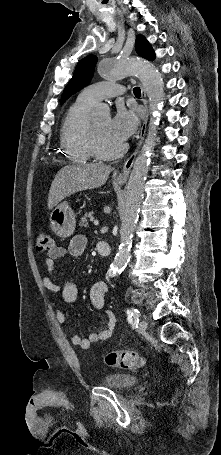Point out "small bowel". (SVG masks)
<instances>
[{"label": "small bowel", "instance_id": "small-bowel-1", "mask_svg": "<svg viewBox=\"0 0 221 455\" xmlns=\"http://www.w3.org/2000/svg\"><path fill=\"white\" fill-rule=\"evenodd\" d=\"M87 247V239L83 235L74 236L67 247L54 246L45 259L47 275L42 277L43 286L51 292L61 294L66 303H73L77 297V287L71 280H65L62 284H57L51 279L54 271V261L61 258H77L81 256ZM108 291L107 284L103 281L95 282L90 289V301L92 306L97 310H103L105 296ZM107 327L105 329L94 331L88 337H81L77 334L71 336L73 345L88 350L93 343H98L109 339L116 326V316L112 311L106 310ZM56 321L64 324L65 315L59 309L54 312Z\"/></svg>", "mask_w": 221, "mask_h": 455}]
</instances>
